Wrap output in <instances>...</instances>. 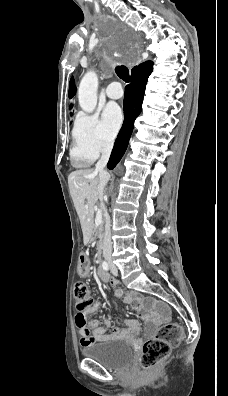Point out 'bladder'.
<instances>
[{"label": "bladder", "instance_id": "obj_1", "mask_svg": "<svg viewBox=\"0 0 228 396\" xmlns=\"http://www.w3.org/2000/svg\"><path fill=\"white\" fill-rule=\"evenodd\" d=\"M82 354L112 370L124 369L133 361V350L129 342L122 339L90 344L82 349Z\"/></svg>", "mask_w": 228, "mask_h": 396}]
</instances>
